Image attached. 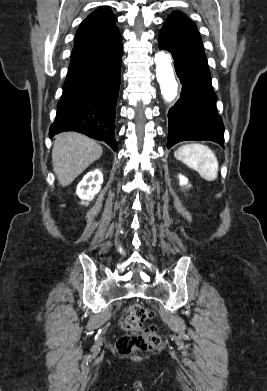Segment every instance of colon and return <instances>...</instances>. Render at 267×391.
<instances>
[{
	"label": "colon",
	"instance_id": "colon-1",
	"mask_svg": "<svg viewBox=\"0 0 267 391\" xmlns=\"http://www.w3.org/2000/svg\"><path fill=\"white\" fill-rule=\"evenodd\" d=\"M153 317V312L138 304L125 309L121 315L120 326L124 333L115 343V350L119 355H128L136 351H150L160 344L159 334L150 327H143V323Z\"/></svg>",
	"mask_w": 267,
	"mask_h": 391
}]
</instances>
